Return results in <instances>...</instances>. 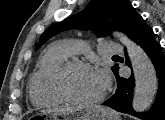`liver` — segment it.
Returning <instances> with one entry per match:
<instances>
[{
    "label": "liver",
    "instance_id": "liver-1",
    "mask_svg": "<svg viewBox=\"0 0 165 120\" xmlns=\"http://www.w3.org/2000/svg\"><path fill=\"white\" fill-rule=\"evenodd\" d=\"M74 109L70 107L65 108H55L53 111L55 112H72Z\"/></svg>",
    "mask_w": 165,
    "mask_h": 120
}]
</instances>
